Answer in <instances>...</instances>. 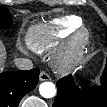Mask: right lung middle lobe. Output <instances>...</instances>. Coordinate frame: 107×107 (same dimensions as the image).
Masks as SVG:
<instances>
[{
	"mask_svg": "<svg viewBox=\"0 0 107 107\" xmlns=\"http://www.w3.org/2000/svg\"><path fill=\"white\" fill-rule=\"evenodd\" d=\"M11 23L12 17L9 13V10L4 7H0V28L6 29L11 25Z\"/></svg>",
	"mask_w": 107,
	"mask_h": 107,
	"instance_id": "right-lung-middle-lobe-1",
	"label": "right lung middle lobe"
}]
</instances>
